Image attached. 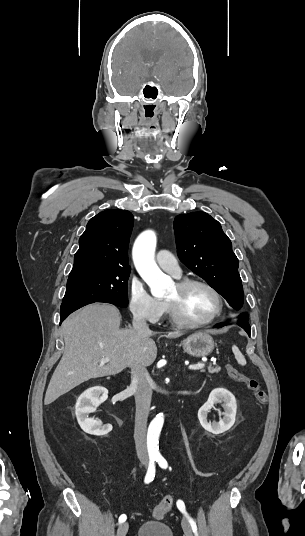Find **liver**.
Segmentation results:
<instances>
[{"instance_id":"6515ba94","label":"liver","mask_w":305,"mask_h":536,"mask_svg":"<svg viewBox=\"0 0 305 536\" xmlns=\"http://www.w3.org/2000/svg\"><path fill=\"white\" fill-rule=\"evenodd\" d=\"M121 316L111 304H89L63 322L64 354L50 380L44 404L91 380L115 376L125 368H146L157 356L150 334L119 330ZM166 338H180L182 332H167ZM102 358H109L100 366Z\"/></svg>"}]
</instances>
